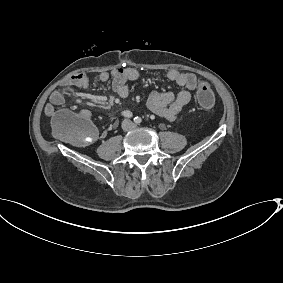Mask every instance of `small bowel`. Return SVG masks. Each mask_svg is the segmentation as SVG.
Wrapping results in <instances>:
<instances>
[{"instance_id": "1", "label": "small bowel", "mask_w": 283, "mask_h": 283, "mask_svg": "<svg viewBox=\"0 0 283 283\" xmlns=\"http://www.w3.org/2000/svg\"><path fill=\"white\" fill-rule=\"evenodd\" d=\"M140 73L131 67H123L109 72H102L99 75L101 82L111 80L112 90L121 98H126L129 94L128 82L138 80ZM165 78L175 82L182 89L179 92H159L152 91L147 99L146 107L154 114L168 122L175 121L183 107L187 105L192 98V91L197 88V78L192 73L180 72L175 69L168 70ZM87 75L79 73L74 74L62 82L63 87L74 86L86 88L89 85ZM65 97L62 91L56 90L50 95L49 103L45 106V114L53 117L56 108L64 104ZM83 116L89 118V110L80 112Z\"/></svg>"}]
</instances>
